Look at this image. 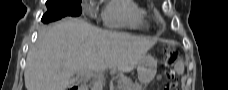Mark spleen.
<instances>
[{
    "label": "spleen",
    "mask_w": 228,
    "mask_h": 90,
    "mask_svg": "<svg viewBox=\"0 0 228 90\" xmlns=\"http://www.w3.org/2000/svg\"><path fill=\"white\" fill-rule=\"evenodd\" d=\"M183 72H184V67H183V65H182L181 67L177 68V73H178V74H182Z\"/></svg>",
    "instance_id": "spleen-1"
}]
</instances>
